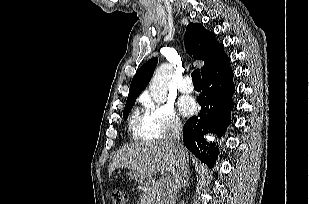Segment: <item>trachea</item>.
<instances>
[{
  "instance_id": "trachea-1",
  "label": "trachea",
  "mask_w": 309,
  "mask_h": 204,
  "mask_svg": "<svg viewBox=\"0 0 309 204\" xmlns=\"http://www.w3.org/2000/svg\"><path fill=\"white\" fill-rule=\"evenodd\" d=\"M191 76H192L194 85H201V75H200L199 69L194 70Z\"/></svg>"
}]
</instances>
